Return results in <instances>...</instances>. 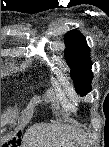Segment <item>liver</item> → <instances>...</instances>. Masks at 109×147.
<instances>
[{
	"instance_id": "1",
	"label": "liver",
	"mask_w": 109,
	"mask_h": 147,
	"mask_svg": "<svg viewBox=\"0 0 109 147\" xmlns=\"http://www.w3.org/2000/svg\"><path fill=\"white\" fill-rule=\"evenodd\" d=\"M86 135L80 129L56 122L35 124L22 139V147H85Z\"/></svg>"
}]
</instances>
